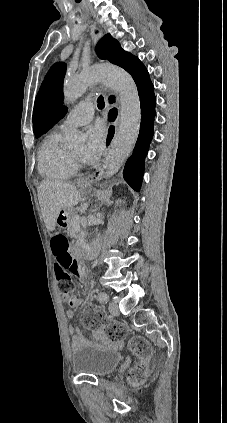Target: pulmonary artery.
Here are the masks:
<instances>
[{
    "instance_id": "e3ab8cb5",
    "label": "pulmonary artery",
    "mask_w": 227,
    "mask_h": 423,
    "mask_svg": "<svg viewBox=\"0 0 227 423\" xmlns=\"http://www.w3.org/2000/svg\"><path fill=\"white\" fill-rule=\"evenodd\" d=\"M93 119V104L89 100L78 103L62 121L60 128L65 130L90 123Z\"/></svg>"
}]
</instances>
